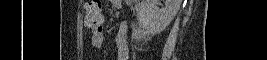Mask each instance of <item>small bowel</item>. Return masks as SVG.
Returning <instances> with one entry per match:
<instances>
[{
  "instance_id": "1",
  "label": "small bowel",
  "mask_w": 267,
  "mask_h": 60,
  "mask_svg": "<svg viewBox=\"0 0 267 60\" xmlns=\"http://www.w3.org/2000/svg\"><path fill=\"white\" fill-rule=\"evenodd\" d=\"M122 0H113L112 3L119 7L122 5ZM103 22V16H102ZM101 24L98 27L91 28V44L95 49H101L103 44V25ZM128 24L123 21L118 27V32L116 36V47H117V60H128L129 59V49L127 44V34H128Z\"/></svg>"
}]
</instances>
